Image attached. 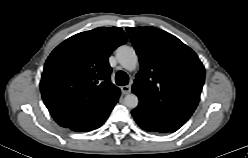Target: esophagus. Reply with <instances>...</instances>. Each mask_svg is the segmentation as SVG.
Listing matches in <instances>:
<instances>
[{"label":"esophagus","instance_id":"esophagus-1","mask_svg":"<svg viewBox=\"0 0 248 158\" xmlns=\"http://www.w3.org/2000/svg\"><path fill=\"white\" fill-rule=\"evenodd\" d=\"M121 91L123 94H129L131 92V86L130 85L122 86Z\"/></svg>","mask_w":248,"mask_h":158}]
</instances>
